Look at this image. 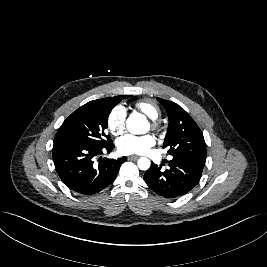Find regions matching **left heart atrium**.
<instances>
[{"instance_id":"1","label":"left heart atrium","mask_w":267,"mask_h":267,"mask_svg":"<svg viewBox=\"0 0 267 267\" xmlns=\"http://www.w3.org/2000/svg\"><path fill=\"white\" fill-rule=\"evenodd\" d=\"M156 143L152 135L136 136L125 134L118 138L116 146L118 151L124 155L145 154Z\"/></svg>"}]
</instances>
